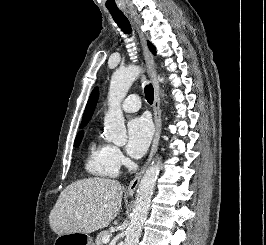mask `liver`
Returning <instances> with one entry per match:
<instances>
[{
    "label": "liver",
    "mask_w": 266,
    "mask_h": 245,
    "mask_svg": "<svg viewBox=\"0 0 266 245\" xmlns=\"http://www.w3.org/2000/svg\"><path fill=\"white\" fill-rule=\"evenodd\" d=\"M123 189L114 179H82L61 191L49 225L56 235L94 233L105 229L118 215Z\"/></svg>",
    "instance_id": "6515ba94"
}]
</instances>
